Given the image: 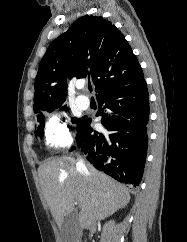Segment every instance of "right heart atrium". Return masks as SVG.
I'll list each match as a JSON object with an SVG mask.
<instances>
[{"instance_id":"1","label":"right heart atrium","mask_w":187,"mask_h":242,"mask_svg":"<svg viewBox=\"0 0 187 242\" xmlns=\"http://www.w3.org/2000/svg\"><path fill=\"white\" fill-rule=\"evenodd\" d=\"M45 141L49 147L61 148L71 142L67 120L61 115H52L45 126Z\"/></svg>"}]
</instances>
